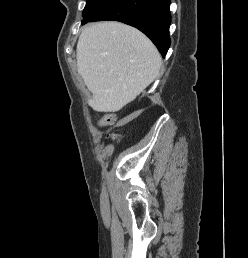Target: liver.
<instances>
[{
  "label": "liver",
  "instance_id": "1",
  "mask_svg": "<svg viewBox=\"0 0 248 258\" xmlns=\"http://www.w3.org/2000/svg\"><path fill=\"white\" fill-rule=\"evenodd\" d=\"M77 71L92 93L91 107L116 112L159 74L161 56L139 30L118 22L87 26L77 43Z\"/></svg>",
  "mask_w": 248,
  "mask_h": 258
}]
</instances>
